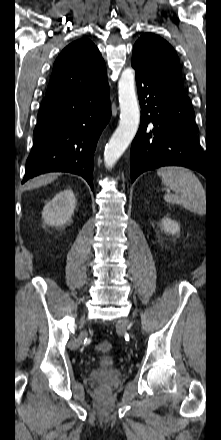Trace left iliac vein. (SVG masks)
Instances as JSON below:
<instances>
[{"instance_id": "left-iliac-vein-1", "label": "left iliac vein", "mask_w": 221, "mask_h": 440, "mask_svg": "<svg viewBox=\"0 0 221 440\" xmlns=\"http://www.w3.org/2000/svg\"><path fill=\"white\" fill-rule=\"evenodd\" d=\"M128 325H129V322H128V320H126V319H120V320L118 321V326L121 327V328L126 327V326H128Z\"/></svg>"}]
</instances>
